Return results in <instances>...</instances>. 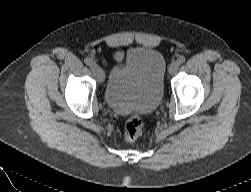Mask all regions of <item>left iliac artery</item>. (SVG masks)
Wrapping results in <instances>:
<instances>
[{
    "mask_svg": "<svg viewBox=\"0 0 251 192\" xmlns=\"http://www.w3.org/2000/svg\"><path fill=\"white\" fill-rule=\"evenodd\" d=\"M185 60H186V58H185L184 56H180V57L177 59V62H178V64L180 65V64L184 63Z\"/></svg>",
    "mask_w": 251,
    "mask_h": 192,
    "instance_id": "left-iliac-artery-1",
    "label": "left iliac artery"
}]
</instances>
